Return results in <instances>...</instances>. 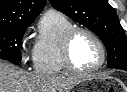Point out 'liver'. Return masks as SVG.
I'll return each mask as SVG.
<instances>
[{"instance_id": "liver-1", "label": "liver", "mask_w": 127, "mask_h": 92, "mask_svg": "<svg viewBox=\"0 0 127 92\" xmlns=\"http://www.w3.org/2000/svg\"><path fill=\"white\" fill-rule=\"evenodd\" d=\"M84 78L31 74L0 61V92H70Z\"/></svg>"}]
</instances>
